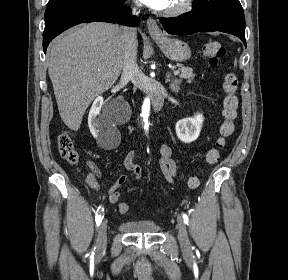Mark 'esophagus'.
<instances>
[{
	"mask_svg": "<svg viewBox=\"0 0 288 280\" xmlns=\"http://www.w3.org/2000/svg\"><path fill=\"white\" fill-rule=\"evenodd\" d=\"M147 28H148V32H149V34H150V36L152 38H161V37H163V32L160 29V27L158 26V24H157L155 19L149 18L147 20Z\"/></svg>",
	"mask_w": 288,
	"mask_h": 280,
	"instance_id": "34e87169",
	"label": "esophagus"
}]
</instances>
